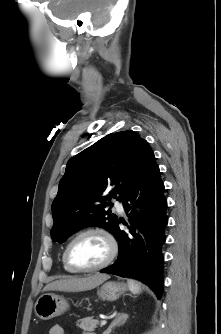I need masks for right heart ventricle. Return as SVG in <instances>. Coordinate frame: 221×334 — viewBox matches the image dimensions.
<instances>
[{"label":"right heart ventricle","instance_id":"obj_1","mask_svg":"<svg viewBox=\"0 0 221 334\" xmlns=\"http://www.w3.org/2000/svg\"><path fill=\"white\" fill-rule=\"evenodd\" d=\"M62 264H63V267L66 271L68 272H71V273H74V271H72L71 269L68 268V266L65 264V261H64V253L62 254Z\"/></svg>","mask_w":221,"mask_h":334}]
</instances>
